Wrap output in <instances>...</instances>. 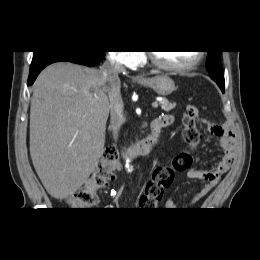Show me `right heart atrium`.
<instances>
[{"instance_id":"right-heart-atrium-1","label":"right heart atrium","mask_w":260,"mask_h":260,"mask_svg":"<svg viewBox=\"0 0 260 260\" xmlns=\"http://www.w3.org/2000/svg\"><path fill=\"white\" fill-rule=\"evenodd\" d=\"M113 58L117 63L132 68L142 62L143 55L139 51H119L113 53Z\"/></svg>"}]
</instances>
